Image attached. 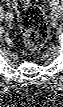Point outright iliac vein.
<instances>
[{"mask_svg":"<svg viewBox=\"0 0 63 107\" xmlns=\"http://www.w3.org/2000/svg\"><path fill=\"white\" fill-rule=\"evenodd\" d=\"M5 18H6V21L11 22V21L13 20V15L8 12V13L6 14Z\"/></svg>","mask_w":63,"mask_h":107,"instance_id":"obj_1","label":"right iliac vein"}]
</instances>
